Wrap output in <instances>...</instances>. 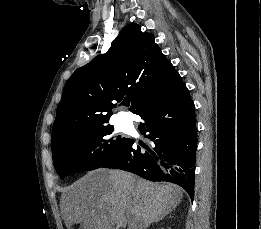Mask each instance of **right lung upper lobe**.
<instances>
[{
	"label": "right lung upper lobe",
	"mask_w": 261,
	"mask_h": 229,
	"mask_svg": "<svg viewBox=\"0 0 261 229\" xmlns=\"http://www.w3.org/2000/svg\"><path fill=\"white\" fill-rule=\"evenodd\" d=\"M178 77L152 34L143 33L136 23L123 27L105 54L68 79L52 129V151L70 135V128L108 124L112 109L124 96L138 114Z\"/></svg>",
	"instance_id": "1"
}]
</instances>
